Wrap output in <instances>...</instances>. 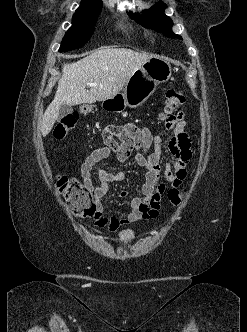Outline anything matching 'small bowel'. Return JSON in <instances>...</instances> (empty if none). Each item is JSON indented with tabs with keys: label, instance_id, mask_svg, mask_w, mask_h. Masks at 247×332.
Instances as JSON below:
<instances>
[{
	"label": "small bowel",
	"instance_id": "small-bowel-1",
	"mask_svg": "<svg viewBox=\"0 0 247 332\" xmlns=\"http://www.w3.org/2000/svg\"><path fill=\"white\" fill-rule=\"evenodd\" d=\"M186 123L183 114L174 126V134L169 141L170 153L174 156L173 163L164 169L165 183H159L161 176L160 158L162 155V139L153 135L149 128L138 127L133 123L123 126L111 125L104 129L103 138L105 146L95 149L81 166V176L85 188L92 193L95 205V225L106 227L115 233L121 226L131 223L153 219L159 215L163 195L171 189H177L186 178V166L191 159V141L185 132ZM117 137L120 142L115 140ZM114 155L120 163L132 160L145 170V183L142 186V196L131 198L130 213L122 218L107 216L104 213L102 198L109 191L111 183L121 182L125 179L123 171L109 172L96 168V164ZM94 170L98 176V183L94 182ZM121 197L127 192L121 191Z\"/></svg>",
	"mask_w": 247,
	"mask_h": 332
}]
</instances>
